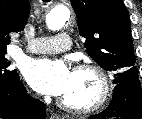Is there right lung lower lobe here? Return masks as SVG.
Returning <instances> with one entry per match:
<instances>
[{"mask_svg": "<svg viewBox=\"0 0 142 119\" xmlns=\"http://www.w3.org/2000/svg\"><path fill=\"white\" fill-rule=\"evenodd\" d=\"M45 105L31 98L19 76L6 84H0V118L45 119Z\"/></svg>", "mask_w": 142, "mask_h": 119, "instance_id": "obj_1", "label": "right lung lower lobe"}]
</instances>
